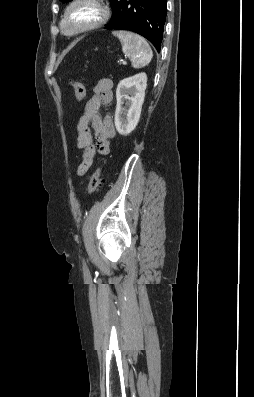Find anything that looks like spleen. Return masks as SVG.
Returning <instances> with one entry per match:
<instances>
[{
	"label": "spleen",
	"mask_w": 254,
	"mask_h": 397,
	"mask_svg": "<svg viewBox=\"0 0 254 397\" xmlns=\"http://www.w3.org/2000/svg\"><path fill=\"white\" fill-rule=\"evenodd\" d=\"M112 34L119 38L122 51L130 59L134 68H141L150 63L153 57L152 49L143 37L123 30L113 31Z\"/></svg>",
	"instance_id": "1"
}]
</instances>
